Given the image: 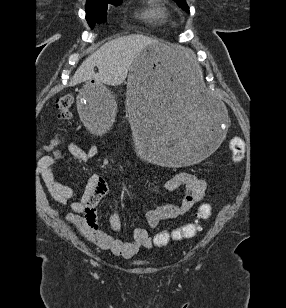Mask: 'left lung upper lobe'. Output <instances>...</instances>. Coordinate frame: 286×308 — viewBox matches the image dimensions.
<instances>
[{"label": "left lung upper lobe", "instance_id": "1", "mask_svg": "<svg viewBox=\"0 0 286 308\" xmlns=\"http://www.w3.org/2000/svg\"><path fill=\"white\" fill-rule=\"evenodd\" d=\"M183 10L189 12V7L185 0H174Z\"/></svg>", "mask_w": 286, "mask_h": 308}]
</instances>
